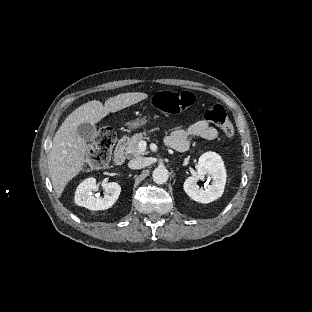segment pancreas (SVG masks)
I'll return each mask as SVG.
<instances>
[{
    "instance_id": "1",
    "label": "pancreas",
    "mask_w": 312,
    "mask_h": 312,
    "mask_svg": "<svg viewBox=\"0 0 312 312\" xmlns=\"http://www.w3.org/2000/svg\"><path fill=\"white\" fill-rule=\"evenodd\" d=\"M145 136H146V132L134 134L128 141V145L125 149V153L130 154L132 156H139L142 154H146L147 152L141 151L138 147L139 142L145 139Z\"/></svg>"
}]
</instances>
